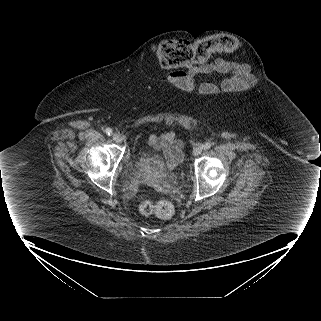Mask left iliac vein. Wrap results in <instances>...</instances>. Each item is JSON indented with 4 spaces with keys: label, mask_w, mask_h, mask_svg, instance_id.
<instances>
[{
    "label": "left iliac vein",
    "mask_w": 321,
    "mask_h": 321,
    "mask_svg": "<svg viewBox=\"0 0 321 321\" xmlns=\"http://www.w3.org/2000/svg\"><path fill=\"white\" fill-rule=\"evenodd\" d=\"M202 151H203V147L199 145V146L194 148L193 155L194 156H198V155H200L202 153Z\"/></svg>",
    "instance_id": "4c4485c4"
}]
</instances>
